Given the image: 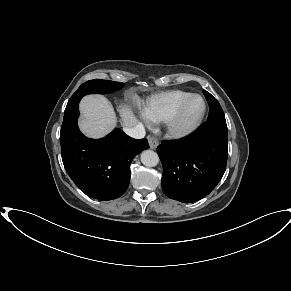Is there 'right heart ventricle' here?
Returning <instances> with one entry per match:
<instances>
[{
  "label": "right heart ventricle",
  "mask_w": 291,
  "mask_h": 291,
  "mask_svg": "<svg viewBox=\"0 0 291 291\" xmlns=\"http://www.w3.org/2000/svg\"><path fill=\"white\" fill-rule=\"evenodd\" d=\"M192 93L168 90L151 96L143 105V116L151 122H165Z\"/></svg>",
  "instance_id": "1"
}]
</instances>
